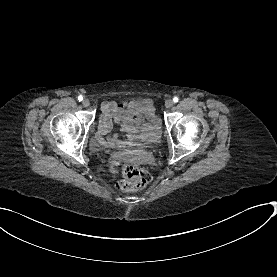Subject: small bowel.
Masks as SVG:
<instances>
[{"mask_svg":"<svg viewBox=\"0 0 277 277\" xmlns=\"http://www.w3.org/2000/svg\"><path fill=\"white\" fill-rule=\"evenodd\" d=\"M105 113L99 118V130L96 134L102 146L116 147L120 141L116 136L105 137L114 125H119L126 135H138L143 138L157 139L160 132V120L156 114L152 100L139 99L124 105L116 102H105L102 105Z\"/></svg>","mask_w":277,"mask_h":277,"instance_id":"c3829d8e","label":"small bowel"}]
</instances>
